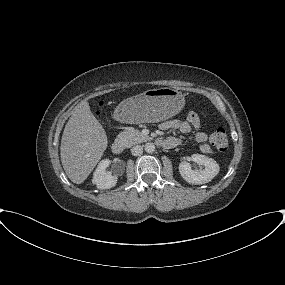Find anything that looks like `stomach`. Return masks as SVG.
<instances>
[{
	"label": "stomach",
	"mask_w": 285,
	"mask_h": 285,
	"mask_svg": "<svg viewBox=\"0 0 285 285\" xmlns=\"http://www.w3.org/2000/svg\"><path fill=\"white\" fill-rule=\"evenodd\" d=\"M185 105L183 94L170 87L149 89L123 100L115 109L118 120L130 123H155L178 114Z\"/></svg>",
	"instance_id": "obj_1"
}]
</instances>
